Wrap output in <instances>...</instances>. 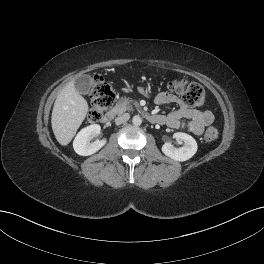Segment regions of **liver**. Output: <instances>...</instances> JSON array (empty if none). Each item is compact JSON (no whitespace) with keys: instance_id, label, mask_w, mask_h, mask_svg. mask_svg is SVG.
<instances>
[{"instance_id":"obj_1","label":"liver","mask_w":264,"mask_h":264,"mask_svg":"<svg viewBox=\"0 0 264 264\" xmlns=\"http://www.w3.org/2000/svg\"><path fill=\"white\" fill-rule=\"evenodd\" d=\"M70 81L58 94L51 116L53 133L57 141L68 145L88 112V103Z\"/></svg>"}]
</instances>
